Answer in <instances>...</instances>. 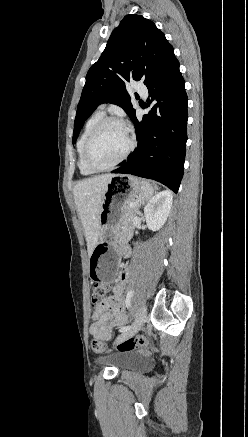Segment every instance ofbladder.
Masks as SVG:
<instances>
[{"label": "bladder", "instance_id": "31cf9c89", "mask_svg": "<svg viewBox=\"0 0 248 437\" xmlns=\"http://www.w3.org/2000/svg\"><path fill=\"white\" fill-rule=\"evenodd\" d=\"M146 360V358L138 353H128V354H124L118 358H116L114 360V364L120 368H126V367H130L133 366L135 364H139L142 363Z\"/></svg>", "mask_w": 248, "mask_h": 437}]
</instances>
